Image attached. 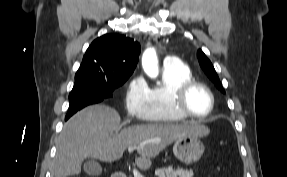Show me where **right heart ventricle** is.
Listing matches in <instances>:
<instances>
[{"label":"right heart ventricle","instance_id":"1","mask_svg":"<svg viewBox=\"0 0 287 177\" xmlns=\"http://www.w3.org/2000/svg\"><path fill=\"white\" fill-rule=\"evenodd\" d=\"M193 76L185 64L164 66L161 84L149 88L146 120L153 123H173L187 119L174 107L178 88Z\"/></svg>","mask_w":287,"mask_h":177}]
</instances>
